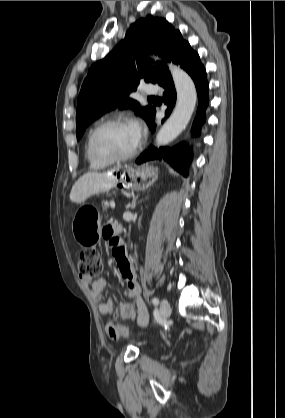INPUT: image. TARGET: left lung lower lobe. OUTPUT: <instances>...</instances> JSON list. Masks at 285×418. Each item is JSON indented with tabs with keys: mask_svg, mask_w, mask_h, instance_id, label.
Wrapping results in <instances>:
<instances>
[{
	"mask_svg": "<svg viewBox=\"0 0 285 418\" xmlns=\"http://www.w3.org/2000/svg\"><path fill=\"white\" fill-rule=\"evenodd\" d=\"M170 60L179 64L181 68H183L191 76L195 83L199 98V106L192 131L194 136L199 135L201 125L205 121V110L209 102V85L206 78L205 68L200 62L198 53L193 51L190 44L184 39L177 42ZM157 83L165 89L162 101L167 105L165 117H168L176 102V91L171 74L167 67L161 73ZM155 113L156 110L148 124L149 128L153 130L155 129ZM162 122H164V120H162ZM191 159L192 154L187 145L181 143L173 148L161 147L157 149L150 146L147 151L139 156L136 163L141 164L150 160H164L174 167V169L187 176V170Z\"/></svg>",
	"mask_w": 285,
	"mask_h": 418,
	"instance_id": "0a47b994",
	"label": "left lung lower lobe"
}]
</instances>
